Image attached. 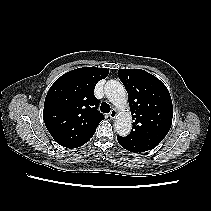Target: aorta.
I'll use <instances>...</instances> for the list:
<instances>
[{"instance_id":"1","label":"aorta","mask_w":211,"mask_h":211,"mask_svg":"<svg viewBox=\"0 0 211 211\" xmlns=\"http://www.w3.org/2000/svg\"><path fill=\"white\" fill-rule=\"evenodd\" d=\"M105 95L116 106L119 114L115 119V131L120 136H127L132 129V117L128 108L127 94L124 86L116 80L105 84Z\"/></svg>"}]
</instances>
